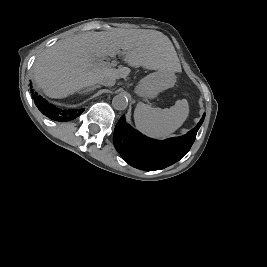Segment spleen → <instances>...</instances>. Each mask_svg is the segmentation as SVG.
I'll list each match as a JSON object with an SVG mask.
<instances>
[{
    "label": "spleen",
    "instance_id": "obj_1",
    "mask_svg": "<svg viewBox=\"0 0 267 267\" xmlns=\"http://www.w3.org/2000/svg\"><path fill=\"white\" fill-rule=\"evenodd\" d=\"M188 113L187 102L184 99L165 109L153 108L139 102L134 111L135 126L144 135L163 140L183 125Z\"/></svg>",
    "mask_w": 267,
    "mask_h": 267
}]
</instances>
